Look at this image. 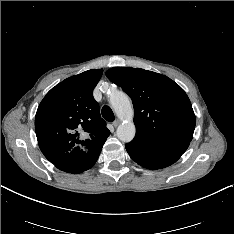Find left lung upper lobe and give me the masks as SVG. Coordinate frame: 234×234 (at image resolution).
Returning a JSON list of instances; mask_svg holds the SVG:
<instances>
[{
  "label": "left lung upper lobe",
  "mask_w": 234,
  "mask_h": 234,
  "mask_svg": "<svg viewBox=\"0 0 234 234\" xmlns=\"http://www.w3.org/2000/svg\"><path fill=\"white\" fill-rule=\"evenodd\" d=\"M106 76L132 99L136 126L133 140H192L195 114L187 94L173 80L131 67L111 68Z\"/></svg>",
  "instance_id": "obj_1"
}]
</instances>
